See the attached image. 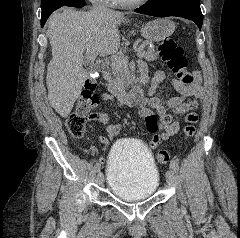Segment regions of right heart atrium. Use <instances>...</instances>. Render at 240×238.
I'll list each match as a JSON object with an SVG mask.
<instances>
[{"label": "right heart atrium", "mask_w": 240, "mask_h": 238, "mask_svg": "<svg viewBox=\"0 0 240 238\" xmlns=\"http://www.w3.org/2000/svg\"><path fill=\"white\" fill-rule=\"evenodd\" d=\"M91 1H95V0H91ZM96 1H105V2H111L112 0H96Z\"/></svg>", "instance_id": "d8ad5b80"}]
</instances>
